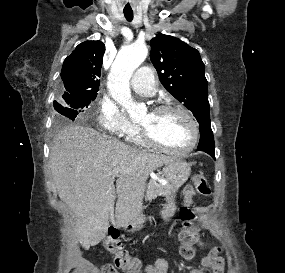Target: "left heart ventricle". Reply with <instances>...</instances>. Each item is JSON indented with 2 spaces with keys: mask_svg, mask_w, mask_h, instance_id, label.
Returning <instances> with one entry per match:
<instances>
[{
  "mask_svg": "<svg viewBox=\"0 0 285 273\" xmlns=\"http://www.w3.org/2000/svg\"><path fill=\"white\" fill-rule=\"evenodd\" d=\"M140 124L160 143L173 148L187 146L192 137L188 120L175 111L145 113Z\"/></svg>",
  "mask_w": 285,
  "mask_h": 273,
  "instance_id": "left-heart-ventricle-1",
  "label": "left heart ventricle"
}]
</instances>
